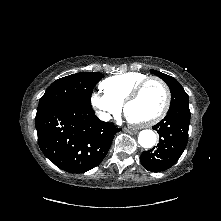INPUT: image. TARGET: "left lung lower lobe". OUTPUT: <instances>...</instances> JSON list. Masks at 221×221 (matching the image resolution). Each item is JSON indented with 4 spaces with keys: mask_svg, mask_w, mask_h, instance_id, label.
Segmentation results:
<instances>
[{
    "mask_svg": "<svg viewBox=\"0 0 221 221\" xmlns=\"http://www.w3.org/2000/svg\"><path fill=\"white\" fill-rule=\"evenodd\" d=\"M190 124L189 106H175L153 129L160 139L156 148L144 151L140 161L151 172H161L172 167L180 158L188 142Z\"/></svg>",
    "mask_w": 221,
    "mask_h": 221,
    "instance_id": "left-lung-lower-lobe-1",
    "label": "left lung lower lobe"
}]
</instances>
